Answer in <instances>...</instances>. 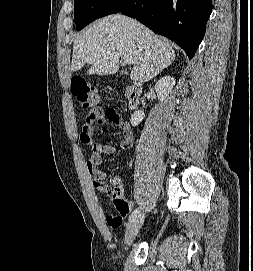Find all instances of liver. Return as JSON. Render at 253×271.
<instances>
[{
  "mask_svg": "<svg viewBox=\"0 0 253 271\" xmlns=\"http://www.w3.org/2000/svg\"><path fill=\"white\" fill-rule=\"evenodd\" d=\"M120 56L132 61L130 79L147 82L172 64L175 51L138 21L116 14L98 19L74 40L71 71L91 65L88 74L111 75Z\"/></svg>",
  "mask_w": 253,
  "mask_h": 271,
  "instance_id": "1",
  "label": "liver"
}]
</instances>
